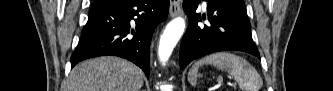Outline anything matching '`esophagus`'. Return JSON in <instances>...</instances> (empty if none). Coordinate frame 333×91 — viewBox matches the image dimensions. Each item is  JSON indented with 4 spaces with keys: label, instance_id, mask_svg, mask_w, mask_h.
I'll use <instances>...</instances> for the list:
<instances>
[{
    "label": "esophagus",
    "instance_id": "esophagus-1",
    "mask_svg": "<svg viewBox=\"0 0 333 91\" xmlns=\"http://www.w3.org/2000/svg\"><path fill=\"white\" fill-rule=\"evenodd\" d=\"M170 17L181 16L183 14L181 8V0H170Z\"/></svg>",
    "mask_w": 333,
    "mask_h": 91
}]
</instances>
